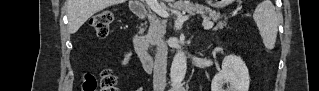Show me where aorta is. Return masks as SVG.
I'll return each instance as SVG.
<instances>
[{
	"instance_id": "obj_1",
	"label": "aorta",
	"mask_w": 319,
	"mask_h": 91,
	"mask_svg": "<svg viewBox=\"0 0 319 91\" xmlns=\"http://www.w3.org/2000/svg\"><path fill=\"white\" fill-rule=\"evenodd\" d=\"M187 70V59L183 52H177L171 65L170 78L172 86L176 87L184 80Z\"/></svg>"
}]
</instances>
